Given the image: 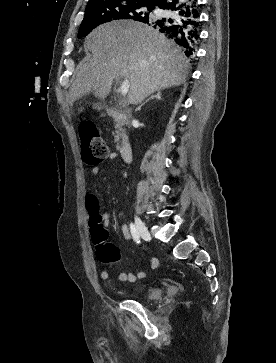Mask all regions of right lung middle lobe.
I'll use <instances>...</instances> for the list:
<instances>
[{
    "instance_id": "1",
    "label": "right lung middle lobe",
    "mask_w": 276,
    "mask_h": 363,
    "mask_svg": "<svg viewBox=\"0 0 276 363\" xmlns=\"http://www.w3.org/2000/svg\"><path fill=\"white\" fill-rule=\"evenodd\" d=\"M155 7L143 2L105 0L88 5L78 33L79 37L89 34L97 26L118 19L143 21ZM147 9L148 12L145 11Z\"/></svg>"
}]
</instances>
